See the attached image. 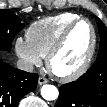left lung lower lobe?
<instances>
[{"instance_id":"obj_1","label":"left lung lower lobe","mask_w":107,"mask_h":107,"mask_svg":"<svg viewBox=\"0 0 107 107\" xmlns=\"http://www.w3.org/2000/svg\"><path fill=\"white\" fill-rule=\"evenodd\" d=\"M55 107H107V63L102 51L87 73L59 88Z\"/></svg>"}]
</instances>
